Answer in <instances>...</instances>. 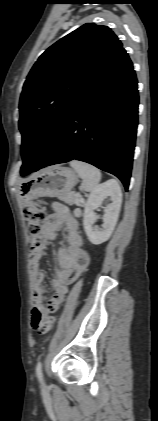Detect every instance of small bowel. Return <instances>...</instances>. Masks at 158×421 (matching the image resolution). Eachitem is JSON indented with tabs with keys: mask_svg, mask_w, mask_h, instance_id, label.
Returning a JSON list of instances; mask_svg holds the SVG:
<instances>
[{
	"mask_svg": "<svg viewBox=\"0 0 158 421\" xmlns=\"http://www.w3.org/2000/svg\"><path fill=\"white\" fill-rule=\"evenodd\" d=\"M66 231L67 245H61L55 255V278L52 281L54 294L47 302V294L43 286L44 273L40 262L49 241L56 239L60 227ZM75 215L67 208L57 205L42 226L39 243L32 248L29 257L32 281V325L36 327L48 312H54L63 301L72 283L89 265V255L82 248V238L78 230Z\"/></svg>",
	"mask_w": 158,
	"mask_h": 421,
	"instance_id": "1",
	"label": "small bowel"
}]
</instances>
